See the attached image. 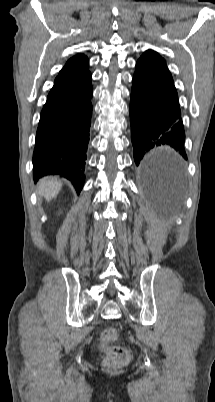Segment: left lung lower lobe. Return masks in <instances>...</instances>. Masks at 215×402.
Masks as SVG:
<instances>
[{
  "label": "left lung lower lobe",
  "instance_id": "left-lung-lower-lobe-1",
  "mask_svg": "<svg viewBox=\"0 0 215 402\" xmlns=\"http://www.w3.org/2000/svg\"><path fill=\"white\" fill-rule=\"evenodd\" d=\"M130 122L135 163L141 164L150 181L156 182L158 174L150 162L142 160L152 149L172 147L187 159L178 95L165 63L146 57L138 59L131 90ZM157 188L166 194L173 192L172 187Z\"/></svg>",
  "mask_w": 215,
  "mask_h": 402
}]
</instances>
